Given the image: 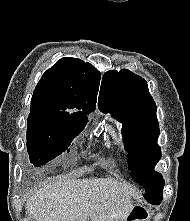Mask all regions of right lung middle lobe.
<instances>
[{
	"label": "right lung middle lobe",
	"mask_w": 190,
	"mask_h": 221,
	"mask_svg": "<svg viewBox=\"0 0 190 221\" xmlns=\"http://www.w3.org/2000/svg\"><path fill=\"white\" fill-rule=\"evenodd\" d=\"M87 122V119L72 121L51 115H29L27 151L30 162L40 167L60 155L68 149L72 140L80 134Z\"/></svg>",
	"instance_id": "right-lung-middle-lobe-1"
}]
</instances>
